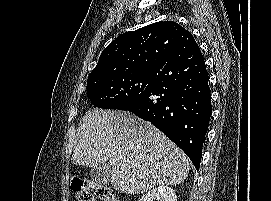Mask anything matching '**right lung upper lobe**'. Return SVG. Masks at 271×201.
<instances>
[{
	"label": "right lung upper lobe",
	"instance_id": "1",
	"mask_svg": "<svg viewBox=\"0 0 271 201\" xmlns=\"http://www.w3.org/2000/svg\"><path fill=\"white\" fill-rule=\"evenodd\" d=\"M189 34L173 21H161L121 34L102 51L88 78L127 72L153 73Z\"/></svg>",
	"mask_w": 271,
	"mask_h": 201
}]
</instances>
